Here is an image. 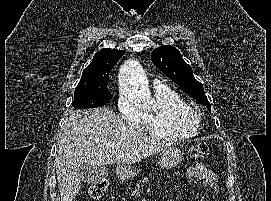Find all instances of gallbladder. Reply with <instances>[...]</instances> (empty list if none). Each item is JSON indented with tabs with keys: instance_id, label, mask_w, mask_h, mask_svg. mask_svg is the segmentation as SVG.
Wrapping results in <instances>:
<instances>
[{
	"instance_id": "gallbladder-1",
	"label": "gallbladder",
	"mask_w": 271,
	"mask_h": 201,
	"mask_svg": "<svg viewBox=\"0 0 271 201\" xmlns=\"http://www.w3.org/2000/svg\"><path fill=\"white\" fill-rule=\"evenodd\" d=\"M108 169L105 166H96L89 163L78 168V176L84 183L95 184L108 177Z\"/></svg>"
}]
</instances>
